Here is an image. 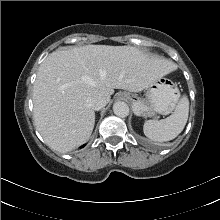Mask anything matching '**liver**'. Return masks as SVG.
<instances>
[{"mask_svg":"<svg viewBox=\"0 0 220 220\" xmlns=\"http://www.w3.org/2000/svg\"><path fill=\"white\" fill-rule=\"evenodd\" d=\"M173 70L172 62L131 46L86 45L54 51L40 65L34 83L35 126L50 148L69 152L93 131L90 96L100 93L108 102L114 89L139 92Z\"/></svg>","mask_w":220,"mask_h":220,"instance_id":"liver-1","label":"liver"}]
</instances>
